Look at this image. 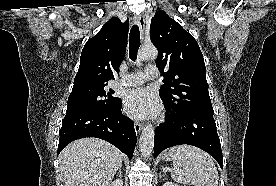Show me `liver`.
<instances>
[{
	"label": "liver",
	"instance_id": "liver-1",
	"mask_svg": "<svg viewBox=\"0 0 276 186\" xmlns=\"http://www.w3.org/2000/svg\"><path fill=\"white\" fill-rule=\"evenodd\" d=\"M123 157V153L104 140H75L59 155L64 186H109L122 166Z\"/></svg>",
	"mask_w": 276,
	"mask_h": 186
}]
</instances>
